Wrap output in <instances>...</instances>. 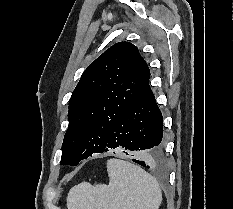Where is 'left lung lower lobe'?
I'll use <instances>...</instances> for the list:
<instances>
[{
  "label": "left lung lower lobe",
  "instance_id": "obj_1",
  "mask_svg": "<svg viewBox=\"0 0 233 209\" xmlns=\"http://www.w3.org/2000/svg\"><path fill=\"white\" fill-rule=\"evenodd\" d=\"M145 77L123 115L112 127L104 152L115 148L145 150L143 160H133L143 167L162 163L163 119ZM128 154V153H126Z\"/></svg>",
  "mask_w": 233,
  "mask_h": 209
}]
</instances>
